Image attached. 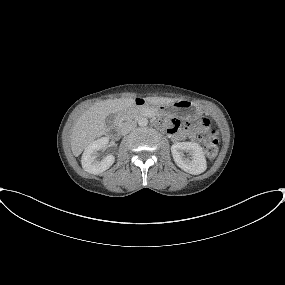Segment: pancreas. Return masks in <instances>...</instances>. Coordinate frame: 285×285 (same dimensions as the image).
<instances>
[{"mask_svg": "<svg viewBox=\"0 0 285 285\" xmlns=\"http://www.w3.org/2000/svg\"><path fill=\"white\" fill-rule=\"evenodd\" d=\"M149 112L155 113V111L153 109L131 107L123 113L122 120H131L134 118H138V117L145 115Z\"/></svg>", "mask_w": 285, "mask_h": 285, "instance_id": "cf45deb5", "label": "pancreas"}]
</instances>
